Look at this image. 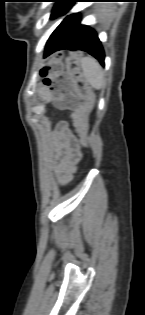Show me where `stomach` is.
Segmentation results:
<instances>
[{"label": "stomach", "mask_w": 145, "mask_h": 315, "mask_svg": "<svg viewBox=\"0 0 145 315\" xmlns=\"http://www.w3.org/2000/svg\"><path fill=\"white\" fill-rule=\"evenodd\" d=\"M38 89H39L40 91H43V90L45 89V87H42V84H40V85L38 86ZM42 98H43L44 100H49V99H50V97H49L47 91H45V93L42 95Z\"/></svg>", "instance_id": "obj_1"}]
</instances>
